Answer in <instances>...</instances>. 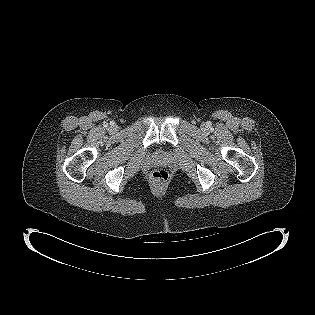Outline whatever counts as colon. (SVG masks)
Wrapping results in <instances>:
<instances>
[{
  "mask_svg": "<svg viewBox=\"0 0 315 315\" xmlns=\"http://www.w3.org/2000/svg\"><path fill=\"white\" fill-rule=\"evenodd\" d=\"M150 180L156 185H163L169 180V173L164 169H156L150 174Z\"/></svg>",
  "mask_w": 315,
  "mask_h": 315,
  "instance_id": "obj_1",
  "label": "colon"
}]
</instances>
